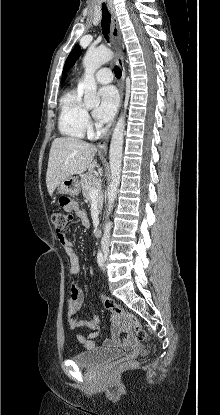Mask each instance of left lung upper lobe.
Here are the masks:
<instances>
[{
	"mask_svg": "<svg viewBox=\"0 0 220 415\" xmlns=\"http://www.w3.org/2000/svg\"><path fill=\"white\" fill-rule=\"evenodd\" d=\"M81 54V48L79 45H76L73 50L71 51V53L69 54L65 66H64V70H63V74H65L76 62V60L78 59V57Z\"/></svg>",
	"mask_w": 220,
	"mask_h": 415,
	"instance_id": "left-lung-upper-lobe-1",
	"label": "left lung upper lobe"
}]
</instances>
